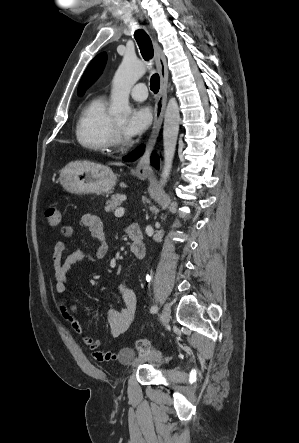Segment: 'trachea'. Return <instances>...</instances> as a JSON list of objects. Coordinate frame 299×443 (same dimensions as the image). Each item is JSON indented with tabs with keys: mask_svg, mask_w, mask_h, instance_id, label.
Instances as JSON below:
<instances>
[{
	"mask_svg": "<svg viewBox=\"0 0 299 443\" xmlns=\"http://www.w3.org/2000/svg\"><path fill=\"white\" fill-rule=\"evenodd\" d=\"M134 37L139 46L142 57L146 61H150L153 58L154 54L153 45L150 37L142 29L136 30ZM159 88H160V78L159 75L155 73L152 75L150 80V89L156 94L159 91Z\"/></svg>",
	"mask_w": 299,
	"mask_h": 443,
	"instance_id": "1",
	"label": "trachea"
}]
</instances>
